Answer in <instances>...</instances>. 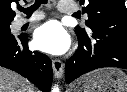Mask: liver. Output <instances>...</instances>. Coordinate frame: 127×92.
Segmentation results:
<instances>
[{
  "label": "liver",
  "instance_id": "6515ba94",
  "mask_svg": "<svg viewBox=\"0 0 127 92\" xmlns=\"http://www.w3.org/2000/svg\"><path fill=\"white\" fill-rule=\"evenodd\" d=\"M0 92H36L27 79L0 67Z\"/></svg>",
  "mask_w": 127,
  "mask_h": 92
}]
</instances>
